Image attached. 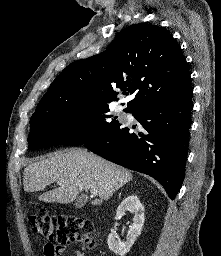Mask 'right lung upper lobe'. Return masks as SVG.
I'll list each match as a JSON object with an SVG mask.
<instances>
[{
	"mask_svg": "<svg viewBox=\"0 0 221 256\" xmlns=\"http://www.w3.org/2000/svg\"><path fill=\"white\" fill-rule=\"evenodd\" d=\"M114 88L125 95L136 92L126 108L132 113L151 102L192 93L186 59L165 28L129 26L102 53L71 63L55 78L35 113L109 103L118 100Z\"/></svg>",
	"mask_w": 221,
	"mask_h": 256,
	"instance_id": "right-lung-upper-lobe-1",
	"label": "right lung upper lobe"
}]
</instances>
